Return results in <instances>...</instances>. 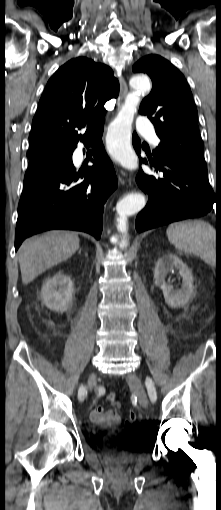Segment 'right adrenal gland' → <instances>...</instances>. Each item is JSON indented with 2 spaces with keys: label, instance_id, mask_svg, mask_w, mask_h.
Returning a JSON list of instances; mask_svg holds the SVG:
<instances>
[{
  "label": "right adrenal gland",
  "instance_id": "1",
  "mask_svg": "<svg viewBox=\"0 0 221 510\" xmlns=\"http://www.w3.org/2000/svg\"><path fill=\"white\" fill-rule=\"evenodd\" d=\"M78 253H79V254H81V249L79 250V252H78Z\"/></svg>",
  "mask_w": 221,
  "mask_h": 510
}]
</instances>
